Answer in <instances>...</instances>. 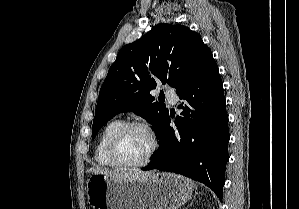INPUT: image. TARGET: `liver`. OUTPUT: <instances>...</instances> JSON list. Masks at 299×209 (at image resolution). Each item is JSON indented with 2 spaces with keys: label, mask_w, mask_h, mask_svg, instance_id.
<instances>
[{
  "label": "liver",
  "mask_w": 299,
  "mask_h": 209,
  "mask_svg": "<svg viewBox=\"0 0 299 209\" xmlns=\"http://www.w3.org/2000/svg\"><path fill=\"white\" fill-rule=\"evenodd\" d=\"M88 171L92 173L103 174L107 177L120 181L140 180L150 175V172H144L141 170H108L100 167H92Z\"/></svg>",
  "instance_id": "liver-1"
}]
</instances>
